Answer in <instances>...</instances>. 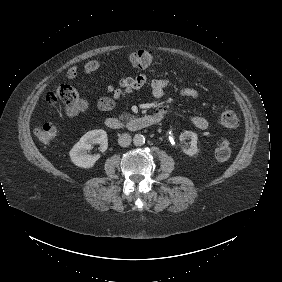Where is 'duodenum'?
<instances>
[{"mask_svg":"<svg viewBox=\"0 0 282 282\" xmlns=\"http://www.w3.org/2000/svg\"><path fill=\"white\" fill-rule=\"evenodd\" d=\"M162 120L161 115L145 114L126 121L116 117H109L105 120V124L108 128L114 130L137 131L158 124Z\"/></svg>","mask_w":282,"mask_h":282,"instance_id":"duodenum-1","label":"duodenum"}]
</instances>
